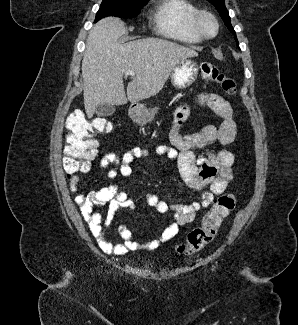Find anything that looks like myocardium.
<instances>
[{
  "label": "myocardium",
  "mask_w": 298,
  "mask_h": 325,
  "mask_svg": "<svg viewBox=\"0 0 298 325\" xmlns=\"http://www.w3.org/2000/svg\"><path fill=\"white\" fill-rule=\"evenodd\" d=\"M208 22L211 26L212 32L207 33L205 23ZM193 29L203 40H210L218 33V26L214 21L212 15L206 11H199L192 22Z\"/></svg>",
  "instance_id": "f54148a6"
}]
</instances>
